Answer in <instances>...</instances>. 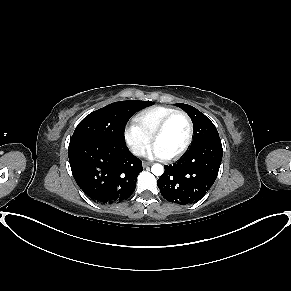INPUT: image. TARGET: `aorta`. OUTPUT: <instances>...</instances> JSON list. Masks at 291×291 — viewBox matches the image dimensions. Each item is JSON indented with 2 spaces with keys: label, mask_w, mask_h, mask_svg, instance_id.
Returning <instances> with one entry per match:
<instances>
[{
  "label": "aorta",
  "mask_w": 291,
  "mask_h": 291,
  "mask_svg": "<svg viewBox=\"0 0 291 291\" xmlns=\"http://www.w3.org/2000/svg\"><path fill=\"white\" fill-rule=\"evenodd\" d=\"M151 172L155 175V176H161L164 172V168L161 164H154L151 167Z\"/></svg>",
  "instance_id": "aorta-1"
}]
</instances>
